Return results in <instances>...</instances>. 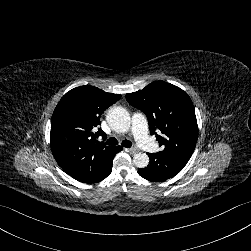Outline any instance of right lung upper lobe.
<instances>
[{"label":"right lung upper lobe","mask_w":251,"mask_h":251,"mask_svg":"<svg viewBox=\"0 0 251 251\" xmlns=\"http://www.w3.org/2000/svg\"><path fill=\"white\" fill-rule=\"evenodd\" d=\"M121 98L94 86L68 91L59 101L51 119L50 142L59 166L74 179L89 183L106 171L117 147H107L97 137L105 133L102 113Z\"/></svg>","instance_id":"1"}]
</instances>
